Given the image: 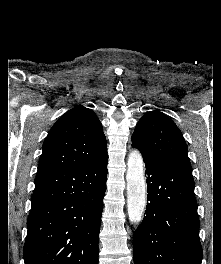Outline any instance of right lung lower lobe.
I'll use <instances>...</instances> for the list:
<instances>
[{
    "instance_id": "98d812e1",
    "label": "right lung lower lobe",
    "mask_w": 221,
    "mask_h": 264,
    "mask_svg": "<svg viewBox=\"0 0 221 264\" xmlns=\"http://www.w3.org/2000/svg\"><path fill=\"white\" fill-rule=\"evenodd\" d=\"M107 160L37 174L25 264H98Z\"/></svg>"
}]
</instances>
